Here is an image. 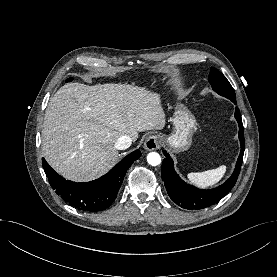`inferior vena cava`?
Wrapping results in <instances>:
<instances>
[{
	"instance_id": "obj_1",
	"label": "inferior vena cava",
	"mask_w": 277,
	"mask_h": 277,
	"mask_svg": "<svg viewBox=\"0 0 277 277\" xmlns=\"http://www.w3.org/2000/svg\"><path fill=\"white\" fill-rule=\"evenodd\" d=\"M132 143V139L128 135H122L118 138V140L115 143V147L118 150H125L130 147Z\"/></svg>"
}]
</instances>
